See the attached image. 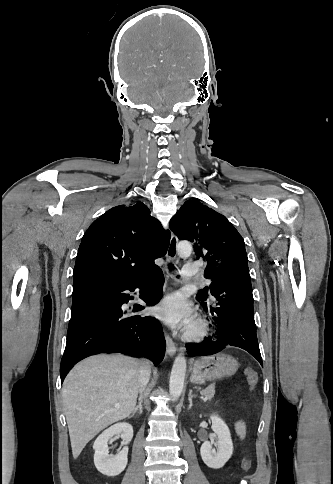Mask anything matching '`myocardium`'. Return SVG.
Here are the masks:
<instances>
[{"mask_svg":"<svg viewBox=\"0 0 333 484\" xmlns=\"http://www.w3.org/2000/svg\"><path fill=\"white\" fill-rule=\"evenodd\" d=\"M210 332V326L206 319L196 318L189 329H187L184 338L189 342H200L204 340Z\"/></svg>","mask_w":333,"mask_h":484,"instance_id":"obj_1","label":"myocardium"}]
</instances>
